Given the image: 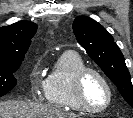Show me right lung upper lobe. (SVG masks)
Here are the masks:
<instances>
[{
  "mask_svg": "<svg viewBox=\"0 0 133 118\" xmlns=\"http://www.w3.org/2000/svg\"><path fill=\"white\" fill-rule=\"evenodd\" d=\"M37 24L19 21L0 28V63L17 62L24 59Z\"/></svg>",
  "mask_w": 133,
  "mask_h": 118,
  "instance_id": "cb5924a9",
  "label": "right lung upper lobe"
}]
</instances>
